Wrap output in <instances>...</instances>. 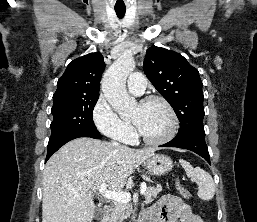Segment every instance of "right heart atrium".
<instances>
[{
	"label": "right heart atrium",
	"instance_id": "d8ad5b80",
	"mask_svg": "<svg viewBox=\"0 0 257 222\" xmlns=\"http://www.w3.org/2000/svg\"><path fill=\"white\" fill-rule=\"evenodd\" d=\"M101 109L107 110L109 114H111L116 118L117 125L112 129L105 128L101 124H99L97 120V115ZM93 121L96 127L98 128V130L102 134L106 135L107 137H110L112 139L118 140L123 143L130 142L133 139L134 130L132 126L116 116L115 112L113 111V109L110 107V105L107 103L106 99L103 96L99 97L93 109Z\"/></svg>",
	"mask_w": 257,
	"mask_h": 222
}]
</instances>
